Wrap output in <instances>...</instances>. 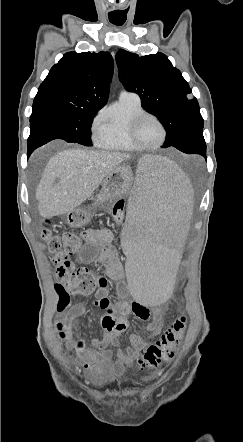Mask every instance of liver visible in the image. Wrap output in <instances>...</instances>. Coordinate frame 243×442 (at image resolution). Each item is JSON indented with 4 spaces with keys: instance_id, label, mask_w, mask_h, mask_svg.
Instances as JSON below:
<instances>
[{
    "instance_id": "1",
    "label": "liver",
    "mask_w": 243,
    "mask_h": 442,
    "mask_svg": "<svg viewBox=\"0 0 243 442\" xmlns=\"http://www.w3.org/2000/svg\"><path fill=\"white\" fill-rule=\"evenodd\" d=\"M130 155L93 150H64L48 161L36 191L42 217L66 214L83 202L102 181ZM58 179V183L54 184Z\"/></svg>"
}]
</instances>
